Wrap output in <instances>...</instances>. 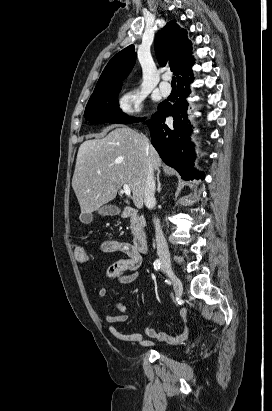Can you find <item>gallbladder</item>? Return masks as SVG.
Returning a JSON list of instances; mask_svg holds the SVG:
<instances>
[{
	"label": "gallbladder",
	"mask_w": 272,
	"mask_h": 411,
	"mask_svg": "<svg viewBox=\"0 0 272 411\" xmlns=\"http://www.w3.org/2000/svg\"><path fill=\"white\" fill-rule=\"evenodd\" d=\"M98 213L102 216H115L120 214V209L111 204H106L98 209ZM82 223L88 224L91 221L89 214H82L80 217Z\"/></svg>",
	"instance_id": "gallbladder-1"
}]
</instances>
